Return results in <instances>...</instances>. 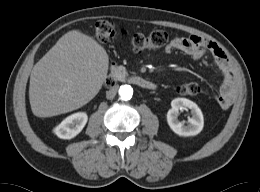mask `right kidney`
I'll return each mask as SVG.
<instances>
[{
  "instance_id": "ca27d5eb",
  "label": "right kidney",
  "mask_w": 260,
  "mask_h": 192,
  "mask_svg": "<svg viewBox=\"0 0 260 192\" xmlns=\"http://www.w3.org/2000/svg\"><path fill=\"white\" fill-rule=\"evenodd\" d=\"M87 121L85 112L71 114L55 127L54 133L61 139H72L82 131Z\"/></svg>"
}]
</instances>
